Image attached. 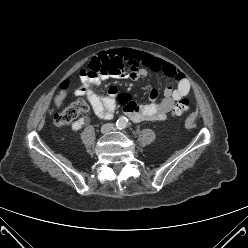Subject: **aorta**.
Listing matches in <instances>:
<instances>
[{
  "mask_svg": "<svg viewBox=\"0 0 248 248\" xmlns=\"http://www.w3.org/2000/svg\"><path fill=\"white\" fill-rule=\"evenodd\" d=\"M127 118L126 117H120L117 122H116V126L119 128V129H123L127 126Z\"/></svg>",
  "mask_w": 248,
  "mask_h": 248,
  "instance_id": "obj_1",
  "label": "aorta"
}]
</instances>
